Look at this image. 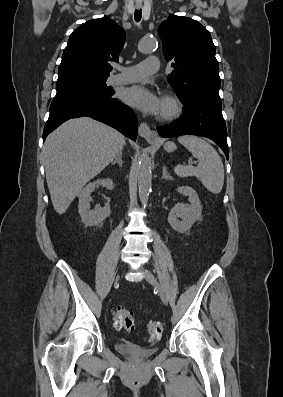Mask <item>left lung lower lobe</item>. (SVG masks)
Instances as JSON below:
<instances>
[{
  "label": "left lung lower lobe",
  "mask_w": 283,
  "mask_h": 397,
  "mask_svg": "<svg viewBox=\"0 0 283 397\" xmlns=\"http://www.w3.org/2000/svg\"><path fill=\"white\" fill-rule=\"evenodd\" d=\"M161 137L198 135L213 140L228 159L227 129L222 107L204 102L184 105L183 115L169 125L157 127Z\"/></svg>",
  "instance_id": "left-lung-lower-lobe-1"
}]
</instances>
